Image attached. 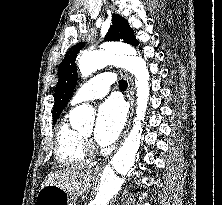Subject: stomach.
I'll use <instances>...</instances> for the list:
<instances>
[{"label":"stomach","instance_id":"stomach-1","mask_svg":"<svg viewBox=\"0 0 222 205\" xmlns=\"http://www.w3.org/2000/svg\"><path fill=\"white\" fill-rule=\"evenodd\" d=\"M36 205H74V198L56 185H47L39 190Z\"/></svg>","mask_w":222,"mask_h":205}]
</instances>
